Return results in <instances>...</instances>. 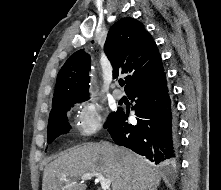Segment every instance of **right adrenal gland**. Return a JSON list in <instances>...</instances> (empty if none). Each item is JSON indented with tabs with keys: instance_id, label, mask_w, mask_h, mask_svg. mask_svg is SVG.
<instances>
[{
	"instance_id": "2a0ac1e0",
	"label": "right adrenal gland",
	"mask_w": 221,
	"mask_h": 190,
	"mask_svg": "<svg viewBox=\"0 0 221 190\" xmlns=\"http://www.w3.org/2000/svg\"><path fill=\"white\" fill-rule=\"evenodd\" d=\"M151 190H157V186L153 187Z\"/></svg>"
}]
</instances>
